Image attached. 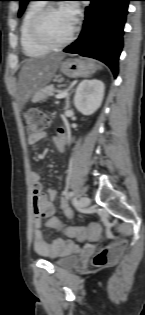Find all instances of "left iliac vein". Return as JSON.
Listing matches in <instances>:
<instances>
[{
    "mask_svg": "<svg viewBox=\"0 0 145 315\" xmlns=\"http://www.w3.org/2000/svg\"><path fill=\"white\" fill-rule=\"evenodd\" d=\"M90 202L91 200L86 197V196H82L80 199H79V205L83 208L87 207L90 205Z\"/></svg>",
    "mask_w": 145,
    "mask_h": 315,
    "instance_id": "4c4485c4",
    "label": "left iliac vein"
}]
</instances>
